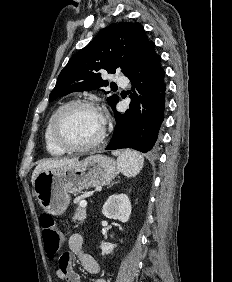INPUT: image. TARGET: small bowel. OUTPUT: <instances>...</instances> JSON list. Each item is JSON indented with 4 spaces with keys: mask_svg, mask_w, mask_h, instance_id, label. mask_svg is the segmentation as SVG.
<instances>
[{
    "mask_svg": "<svg viewBox=\"0 0 232 282\" xmlns=\"http://www.w3.org/2000/svg\"><path fill=\"white\" fill-rule=\"evenodd\" d=\"M69 252L60 256L58 261L57 277L65 282H80V276L73 269V257H77L83 269L96 278L93 282H106L100 276V267L94 257L83 249V237L79 233H73L68 238Z\"/></svg>",
    "mask_w": 232,
    "mask_h": 282,
    "instance_id": "obj_1",
    "label": "small bowel"
}]
</instances>
